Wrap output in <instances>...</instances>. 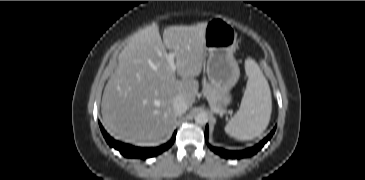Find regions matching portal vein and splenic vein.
I'll list each match as a JSON object with an SVG mask.
<instances>
[{
    "label": "portal vein and splenic vein",
    "instance_id": "1",
    "mask_svg": "<svg viewBox=\"0 0 365 180\" xmlns=\"http://www.w3.org/2000/svg\"><path fill=\"white\" fill-rule=\"evenodd\" d=\"M175 55H176V53H174V52H171L169 54L165 53V58L167 59V62L173 71L176 70V65H175V61H174Z\"/></svg>",
    "mask_w": 365,
    "mask_h": 180
}]
</instances>
